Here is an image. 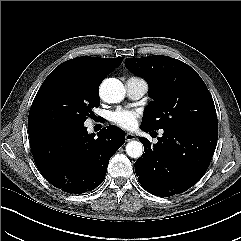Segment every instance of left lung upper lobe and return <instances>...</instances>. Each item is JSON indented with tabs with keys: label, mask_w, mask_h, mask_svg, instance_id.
I'll return each mask as SVG.
<instances>
[{
	"label": "left lung upper lobe",
	"mask_w": 241,
	"mask_h": 241,
	"mask_svg": "<svg viewBox=\"0 0 241 241\" xmlns=\"http://www.w3.org/2000/svg\"><path fill=\"white\" fill-rule=\"evenodd\" d=\"M125 65L149 84L153 101L145 110L142 128L193 127L218 131L211 94L189 65L164 55L127 58Z\"/></svg>",
	"instance_id": "1"
}]
</instances>
